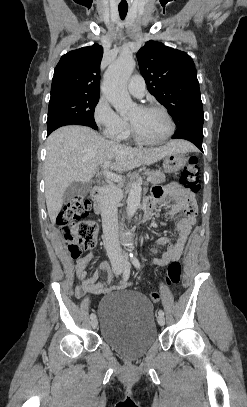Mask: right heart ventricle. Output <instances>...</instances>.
Segmentation results:
<instances>
[{
	"instance_id": "e07e8e85",
	"label": "right heart ventricle",
	"mask_w": 247,
	"mask_h": 407,
	"mask_svg": "<svg viewBox=\"0 0 247 407\" xmlns=\"http://www.w3.org/2000/svg\"><path fill=\"white\" fill-rule=\"evenodd\" d=\"M130 137V132L128 130H126V132L124 133V135L121 137L120 140H125L128 139Z\"/></svg>"
}]
</instances>
